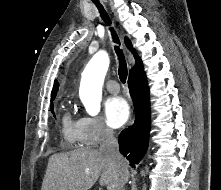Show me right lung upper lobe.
<instances>
[{
  "instance_id": "obj_1",
  "label": "right lung upper lobe",
  "mask_w": 221,
  "mask_h": 190,
  "mask_svg": "<svg viewBox=\"0 0 221 190\" xmlns=\"http://www.w3.org/2000/svg\"><path fill=\"white\" fill-rule=\"evenodd\" d=\"M125 44L131 50V52L134 53L135 50L133 49L131 42L127 37H125ZM134 55H135V59H136V65L130 70L129 77L144 74L141 59L136 54H134ZM58 87H59L58 81L55 80L54 86H53V89L51 92V99L52 100H54V98L57 94Z\"/></svg>"
}]
</instances>
